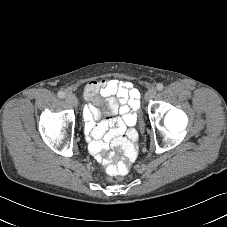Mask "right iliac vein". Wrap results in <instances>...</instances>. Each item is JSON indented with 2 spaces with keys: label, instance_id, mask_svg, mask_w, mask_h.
Instances as JSON below:
<instances>
[{
  "label": "right iliac vein",
  "instance_id": "right-iliac-vein-1",
  "mask_svg": "<svg viewBox=\"0 0 227 227\" xmlns=\"http://www.w3.org/2000/svg\"><path fill=\"white\" fill-rule=\"evenodd\" d=\"M65 100L67 103H69L70 105L76 107L78 104V100L76 98V96L72 93H68L65 97Z\"/></svg>",
  "mask_w": 227,
  "mask_h": 227
}]
</instances>
